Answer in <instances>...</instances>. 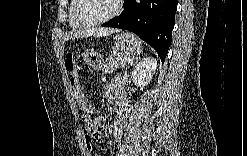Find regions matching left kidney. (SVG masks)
<instances>
[{
    "label": "left kidney",
    "instance_id": "1",
    "mask_svg": "<svg viewBox=\"0 0 247 156\" xmlns=\"http://www.w3.org/2000/svg\"><path fill=\"white\" fill-rule=\"evenodd\" d=\"M157 69V60L154 57H145L140 60L132 71V81L139 87L150 83Z\"/></svg>",
    "mask_w": 247,
    "mask_h": 156
}]
</instances>
